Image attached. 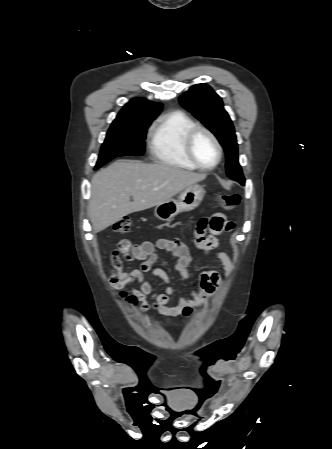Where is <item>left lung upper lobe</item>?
Instances as JSON below:
<instances>
[{
  "label": "left lung upper lobe",
  "instance_id": "5c2ea615",
  "mask_svg": "<svg viewBox=\"0 0 332 449\" xmlns=\"http://www.w3.org/2000/svg\"><path fill=\"white\" fill-rule=\"evenodd\" d=\"M181 105L215 134L226 153V172L234 181L245 184L238 161V148L233 124L221 98L207 84H196L180 96Z\"/></svg>",
  "mask_w": 332,
  "mask_h": 449
}]
</instances>
